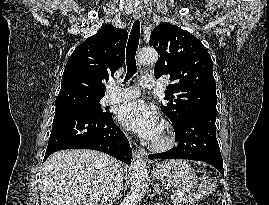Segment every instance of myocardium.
<instances>
[{
	"label": "myocardium",
	"instance_id": "1",
	"mask_svg": "<svg viewBox=\"0 0 269 205\" xmlns=\"http://www.w3.org/2000/svg\"><path fill=\"white\" fill-rule=\"evenodd\" d=\"M173 146L174 136L172 135L169 126H165L161 134L153 142L152 149L158 152H163L171 149Z\"/></svg>",
	"mask_w": 269,
	"mask_h": 205
}]
</instances>
